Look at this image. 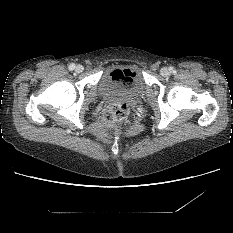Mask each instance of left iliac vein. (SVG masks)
Returning a JSON list of instances; mask_svg holds the SVG:
<instances>
[{
  "label": "left iliac vein",
  "instance_id": "left-iliac-vein-1",
  "mask_svg": "<svg viewBox=\"0 0 233 233\" xmlns=\"http://www.w3.org/2000/svg\"><path fill=\"white\" fill-rule=\"evenodd\" d=\"M160 73L162 76H167L169 74V71L167 68L163 67L161 68Z\"/></svg>",
  "mask_w": 233,
  "mask_h": 233
}]
</instances>
